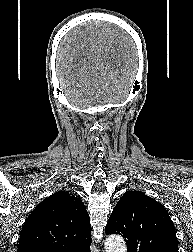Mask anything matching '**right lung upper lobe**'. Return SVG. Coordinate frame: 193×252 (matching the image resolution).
<instances>
[{"instance_id": "obj_1", "label": "right lung upper lobe", "mask_w": 193, "mask_h": 252, "mask_svg": "<svg viewBox=\"0 0 193 252\" xmlns=\"http://www.w3.org/2000/svg\"><path fill=\"white\" fill-rule=\"evenodd\" d=\"M91 225L83 202L61 191L39 203L26 219L18 252H84Z\"/></svg>"}]
</instances>
